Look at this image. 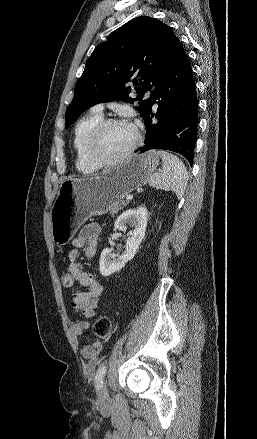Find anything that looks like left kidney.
Returning a JSON list of instances; mask_svg holds the SVG:
<instances>
[{
	"mask_svg": "<svg viewBox=\"0 0 257 439\" xmlns=\"http://www.w3.org/2000/svg\"><path fill=\"white\" fill-rule=\"evenodd\" d=\"M147 220L148 212L145 207L126 210L117 218L114 223L115 229L125 231L127 224L134 227V229L129 233L130 237L126 241L124 254L116 256L112 254L109 248H105L102 251L99 260V270L103 276H110L120 271L128 261L134 258L139 245L145 237Z\"/></svg>",
	"mask_w": 257,
	"mask_h": 439,
	"instance_id": "5707ae66",
	"label": "left kidney"
}]
</instances>
